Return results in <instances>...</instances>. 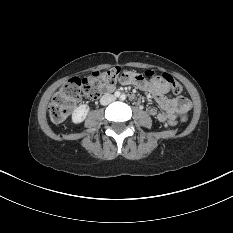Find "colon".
Instances as JSON below:
<instances>
[{
    "instance_id": "1",
    "label": "colon",
    "mask_w": 233,
    "mask_h": 233,
    "mask_svg": "<svg viewBox=\"0 0 233 233\" xmlns=\"http://www.w3.org/2000/svg\"><path fill=\"white\" fill-rule=\"evenodd\" d=\"M120 75V68L113 67L106 71L94 72L88 77L71 78L57 91L50 103L51 120L56 123L64 121L82 97L97 98L102 91L111 90ZM143 75L145 78L161 80L176 95L182 92V86L169 74L156 76L153 71H145ZM168 125L174 127L176 121L169 120Z\"/></svg>"
}]
</instances>
